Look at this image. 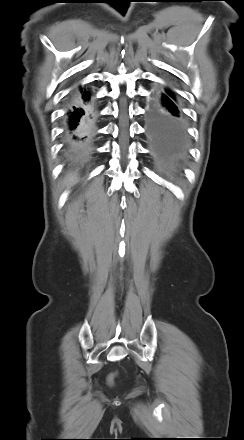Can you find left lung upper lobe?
Masks as SVG:
<instances>
[{
  "instance_id": "1",
  "label": "left lung upper lobe",
  "mask_w": 244,
  "mask_h": 440,
  "mask_svg": "<svg viewBox=\"0 0 244 440\" xmlns=\"http://www.w3.org/2000/svg\"><path fill=\"white\" fill-rule=\"evenodd\" d=\"M166 90H168L169 92H171V93L173 94V92H172V91H170L169 89H166Z\"/></svg>"
}]
</instances>
